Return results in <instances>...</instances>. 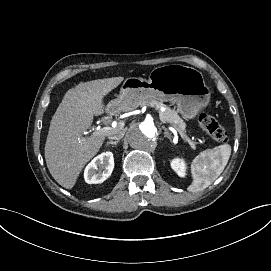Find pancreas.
Instances as JSON below:
<instances>
[{
    "label": "pancreas",
    "mask_w": 271,
    "mask_h": 271,
    "mask_svg": "<svg viewBox=\"0 0 271 271\" xmlns=\"http://www.w3.org/2000/svg\"><path fill=\"white\" fill-rule=\"evenodd\" d=\"M161 107L165 108V111L159 113L160 120L165 123H172L176 125L178 129L184 131L186 128L185 122L171 109L165 107L164 105H161Z\"/></svg>",
    "instance_id": "1"
}]
</instances>
